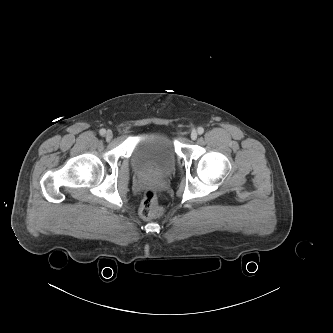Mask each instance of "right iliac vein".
Segmentation results:
<instances>
[{"label":"right iliac vein","instance_id":"right-iliac-vein-1","mask_svg":"<svg viewBox=\"0 0 333 333\" xmlns=\"http://www.w3.org/2000/svg\"><path fill=\"white\" fill-rule=\"evenodd\" d=\"M112 137H113V133L110 130H108L105 134L106 140L110 141L112 139Z\"/></svg>","mask_w":333,"mask_h":333}]
</instances>
